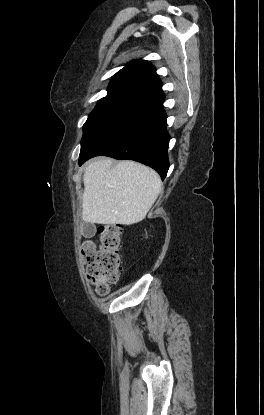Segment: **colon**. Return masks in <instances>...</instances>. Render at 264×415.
I'll use <instances>...</instances> for the list:
<instances>
[{"label":"colon","mask_w":264,"mask_h":415,"mask_svg":"<svg viewBox=\"0 0 264 415\" xmlns=\"http://www.w3.org/2000/svg\"><path fill=\"white\" fill-rule=\"evenodd\" d=\"M123 231L114 225L102 226L95 239L82 244L81 257L87 270V281L99 296L108 295L117 282L123 261L120 256Z\"/></svg>","instance_id":"colon-1"}]
</instances>
